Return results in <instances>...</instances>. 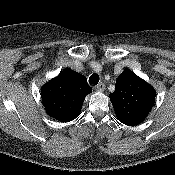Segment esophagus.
Masks as SVG:
<instances>
[{
  "label": "esophagus",
  "mask_w": 175,
  "mask_h": 175,
  "mask_svg": "<svg viewBox=\"0 0 175 175\" xmlns=\"http://www.w3.org/2000/svg\"><path fill=\"white\" fill-rule=\"evenodd\" d=\"M96 90L99 91V92H102L105 90V84L104 83H99L97 86H96Z\"/></svg>",
  "instance_id": "obj_1"
}]
</instances>
